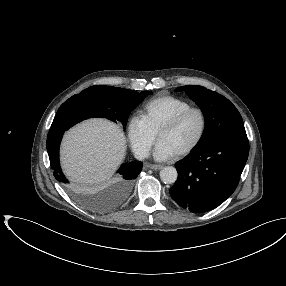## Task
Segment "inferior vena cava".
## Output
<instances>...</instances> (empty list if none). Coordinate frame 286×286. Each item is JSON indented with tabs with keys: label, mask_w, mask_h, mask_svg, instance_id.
I'll use <instances>...</instances> for the list:
<instances>
[{
	"label": "inferior vena cava",
	"mask_w": 286,
	"mask_h": 286,
	"mask_svg": "<svg viewBox=\"0 0 286 286\" xmlns=\"http://www.w3.org/2000/svg\"><path fill=\"white\" fill-rule=\"evenodd\" d=\"M148 151L147 150H140V151H137L135 153V157L138 159V160H143L145 158L148 157Z\"/></svg>",
	"instance_id": "inferior-vena-cava-1"
}]
</instances>
